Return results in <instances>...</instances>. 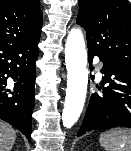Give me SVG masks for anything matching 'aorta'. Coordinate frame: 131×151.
I'll use <instances>...</instances> for the list:
<instances>
[{
    "label": "aorta",
    "instance_id": "1",
    "mask_svg": "<svg viewBox=\"0 0 131 151\" xmlns=\"http://www.w3.org/2000/svg\"><path fill=\"white\" fill-rule=\"evenodd\" d=\"M65 46L67 89L62 112V123L68 129L78 121L87 94V52L80 29L73 28L69 32Z\"/></svg>",
    "mask_w": 131,
    "mask_h": 151
}]
</instances>
